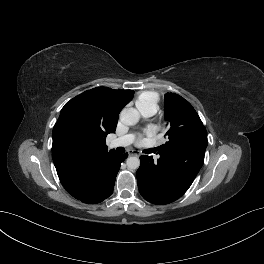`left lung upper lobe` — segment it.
Listing matches in <instances>:
<instances>
[{
	"mask_svg": "<svg viewBox=\"0 0 264 264\" xmlns=\"http://www.w3.org/2000/svg\"><path fill=\"white\" fill-rule=\"evenodd\" d=\"M165 120L170 125L166 132L168 141L158 150L165 153L184 150L190 158L198 147L206 148V128L193 106L183 97L173 93L165 94Z\"/></svg>",
	"mask_w": 264,
	"mask_h": 264,
	"instance_id": "left-lung-upper-lobe-1",
	"label": "left lung upper lobe"
}]
</instances>
